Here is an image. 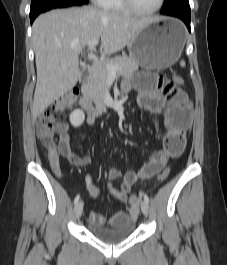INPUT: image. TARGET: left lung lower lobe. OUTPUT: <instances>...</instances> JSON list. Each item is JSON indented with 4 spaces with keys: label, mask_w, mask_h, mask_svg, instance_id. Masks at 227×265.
<instances>
[{
    "label": "left lung lower lobe",
    "mask_w": 227,
    "mask_h": 265,
    "mask_svg": "<svg viewBox=\"0 0 227 265\" xmlns=\"http://www.w3.org/2000/svg\"><path fill=\"white\" fill-rule=\"evenodd\" d=\"M162 14L180 18L186 24L188 30L189 31L191 30L190 29V13H162Z\"/></svg>",
    "instance_id": "0a47b994"
}]
</instances>
